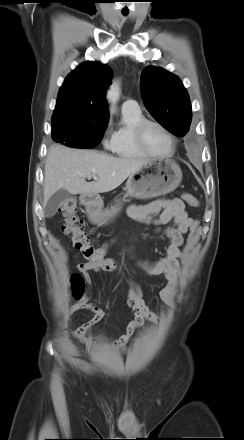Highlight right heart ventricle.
I'll use <instances>...</instances> for the list:
<instances>
[{"label":"right heart ventricle","instance_id":"e07e8e85","mask_svg":"<svg viewBox=\"0 0 244 440\" xmlns=\"http://www.w3.org/2000/svg\"><path fill=\"white\" fill-rule=\"evenodd\" d=\"M123 123L116 127L111 136L110 150L119 157L141 158L144 154L134 143L132 136L133 126L144 119L140 110L135 112L122 111Z\"/></svg>","mask_w":244,"mask_h":440}]
</instances>
